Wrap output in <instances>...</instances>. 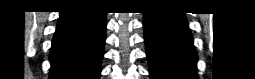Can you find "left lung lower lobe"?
<instances>
[{"label": "left lung lower lobe", "instance_id": "1", "mask_svg": "<svg viewBox=\"0 0 255 79\" xmlns=\"http://www.w3.org/2000/svg\"><path fill=\"white\" fill-rule=\"evenodd\" d=\"M151 79H197V54L183 13L145 12Z\"/></svg>", "mask_w": 255, "mask_h": 79}]
</instances>
